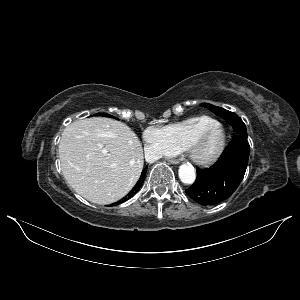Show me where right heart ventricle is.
<instances>
[{"instance_id": "e07e8e85", "label": "right heart ventricle", "mask_w": 300, "mask_h": 300, "mask_svg": "<svg viewBox=\"0 0 300 300\" xmlns=\"http://www.w3.org/2000/svg\"><path fill=\"white\" fill-rule=\"evenodd\" d=\"M216 123L217 121L212 117L201 115L168 124L162 130L172 147L180 152L187 149L188 144L196 135Z\"/></svg>"}]
</instances>
